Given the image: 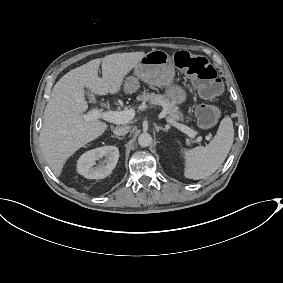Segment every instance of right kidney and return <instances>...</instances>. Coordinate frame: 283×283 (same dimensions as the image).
<instances>
[{
	"mask_svg": "<svg viewBox=\"0 0 283 283\" xmlns=\"http://www.w3.org/2000/svg\"><path fill=\"white\" fill-rule=\"evenodd\" d=\"M118 159L119 150L117 147L97 148L88 151L79 158L78 172L88 179H102L112 172Z\"/></svg>",
	"mask_w": 283,
	"mask_h": 283,
	"instance_id": "right-kidney-1",
	"label": "right kidney"
}]
</instances>
